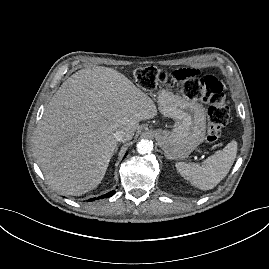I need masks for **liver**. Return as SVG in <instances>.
<instances>
[{
  "label": "liver",
  "instance_id": "obj_1",
  "mask_svg": "<svg viewBox=\"0 0 269 269\" xmlns=\"http://www.w3.org/2000/svg\"><path fill=\"white\" fill-rule=\"evenodd\" d=\"M156 115L153 100L117 70L77 71L55 93L36 130V158L48 184L72 196L95 189L117 147L116 130L124 129L129 141L140 121Z\"/></svg>",
  "mask_w": 269,
  "mask_h": 269
}]
</instances>
